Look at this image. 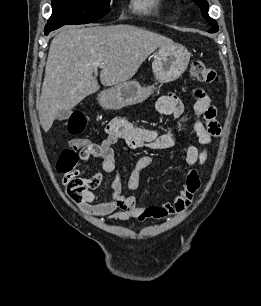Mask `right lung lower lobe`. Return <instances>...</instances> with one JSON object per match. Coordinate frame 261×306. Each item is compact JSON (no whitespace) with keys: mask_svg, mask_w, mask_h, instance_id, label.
<instances>
[{"mask_svg":"<svg viewBox=\"0 0 261 306\" xmlns=\"http://www.w3.org/2000/svg\"><path fill=\"white\" fill-rule=\"evenodd\" d=\"M63 25H52V24H47L45 26V35H48V33L52 30L58 29Z\"/></svg>","mask_w":261,"mask_h":306,"instance_id":"obj_1","label":"right lung lower lobe"}]
</instances>
